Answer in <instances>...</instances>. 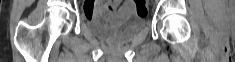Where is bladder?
<instances>
[{
  "label": "bladder",
  "instance_id": "1",
  "mask_svg": "<svg viewBox=\"0 0 235 62\" xmlns=\"http://www.w3.org/2000/svg\"><path fill=\"white\" fill-rule=\"evenodd\" d=\"M86 24L99 38L110 43H120L130 40L143 30L146 19L132 8H122L112 13L106 21L87 20Z\"/></svg>",
  "mask_w": 235,
  "mask_h": 62
}]
</instances>
